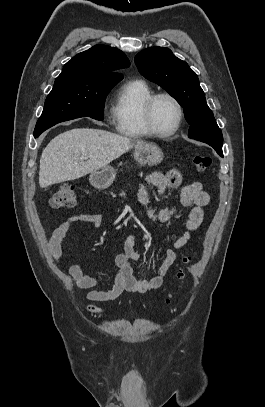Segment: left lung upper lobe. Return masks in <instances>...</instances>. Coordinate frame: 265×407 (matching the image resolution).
Instances as JSON below:
<instances>
[{"instance_id": "left-lung-upper-lobe-1", "label": "left lung upper lobe", "mask_w": 265, "mask_h": 407, "mask_svg": "<svg viewBox=\"0 0 265 407\" xmlns=\"http://www.w3.org/2000/svg\"><path fill=\"white\" fill-rule=\"evenodd\" d=\"M140 73L163 87L184 108L188 137L222 151L223 137L196 73L166 47H150L135 56Z\"/></svg>"}]
</instances>
